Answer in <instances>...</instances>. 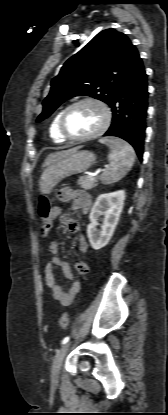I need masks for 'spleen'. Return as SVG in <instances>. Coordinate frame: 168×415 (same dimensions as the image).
Wrapping results in <instances>:
<instances>
[{"label":"spleen","instance_id":"obj_1","mask_svg":"<svg viewBox=\"0 0 168 415\" xmlns=\"http://www.w3.org/2000/svg\"><path fill=\"white\" fill-rule=\"evenodd\" d=\"M100 143L110 148V164L101 174L100 181L105 184H112L122 179L132 168L135 161V151L130 144L119 138H102Z\"/></svg>","mask_w":168,"mask_h":415}]
</instances>
